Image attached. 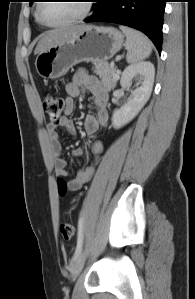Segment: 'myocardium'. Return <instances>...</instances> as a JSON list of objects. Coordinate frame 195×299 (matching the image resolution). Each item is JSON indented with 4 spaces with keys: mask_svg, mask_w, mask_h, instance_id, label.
<instances>
[{
    "mask_svg": "<svg viewBox=\"0 0 195 299\" xmlns=\"http://www.w3.org/2000/svg\"><path fill=\"white\" fill-rule=\"evenodd\" d=\"M84 1V8L83 11L76 17L71 18L67 21L61 22V23H50L47 20L44 19V17L41 14V8L43 3H38L37 7H36V17L39 20V22L47 27L50 28H60V27H65V26H69L71 24L80 22L84 19H86L93 8V3L91 2V0H83Z\"/></svg>",
    "mask_w": 195,
    "mask_h": 299,
    "instance_id": "f54148a6",
    "label": "myocardium"
}]
</instances>
